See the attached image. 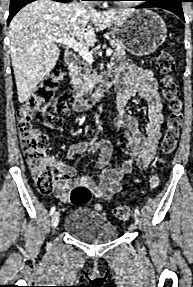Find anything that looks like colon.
Wrapping results in <instances>:
<instances>
[{"mask_svg":"<svg viewBox=\"0 0 193 287\" xmlns=\"http://www.w3.org/2000/svg\"><path fill=\"white\" fill-rule=\"evenodd\" d=\"M156 69L163 76L162 94L169 109L167 129L160 144L161 154L167 156L173 153L177 146L183 122L179 86L171 76L175 69V61L169 51L161 50L157 53ZM62 78L63 71L58 65L50 68L37 85L32 97L18 111L21 147L32 180L42 194L53 190L56 175L47 160L48 139L34 126V119L38 113H41L54 127L58 128L62 125V116L67 112L68 106L75 97L74 93L69 90L58 98H54V90ZM157 185L158 178L153 176L150 179V189H155ZM91 197L92 192L89 188L76 186L71 190L69 199L73 205H82L87 203ZM129 215L128 206L120 205L114 209V216L119 220H126Z\"/></svg>","mask_w":193,"mask_h":287,"instance_id":"5ec220e1","label":"colon"}]
</instances>
